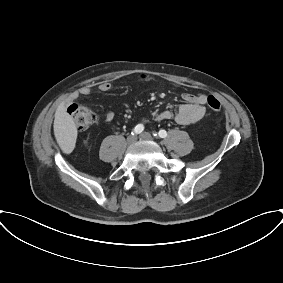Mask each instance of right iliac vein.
I'll return each mask as SVG.
<instances>
[{
  "mask_svg": "<svg viewBox=\"0 0 283 283\" xmlns=\"http://www.w3.org/2000/svg\"><path fill=\"white\" fill-rule=\"evenodd\" d=\"M135 141H136V136H135V135H129V136L127 137V143H128L129 145L135 143Z\"/></svg>",
  "mask_w": 283,
  "mask_h": 283,
  "instance_id": "63e3f726",
  "label": "right iliac vein"
}]
</instances>
